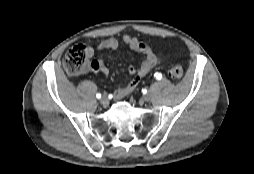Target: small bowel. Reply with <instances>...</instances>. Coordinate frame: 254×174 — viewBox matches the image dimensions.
<instances>
[{"label": "small bowel", "mask_w": 254, "mask_h": 174, "mask_svg": "<svg viewBox=\"0 0 254 174\" xmlns=\"http://www.w3.org/2000/svg\"><path fill=\"white\" fill-rule=\"evenodd\" d=\"M122 43L141 53L144 59L139 67H136L134 65L129 66V73L132 77L126 85L115 89L114 97L116 99H121L133 92L134 89L142 81V79L151 71V69L156 64L159 63V58L154 54L152 49L136 37L124 35L122 37ZM118 46L119 41L117 39L109 38L102 41L97 46H88L87 54L89 58H93L98 51L115 50ZM89 70L103 76H108L109 74V70L102 60H92L90 62Z\"/></svg>", "instance_id": "c3829d8e"}]
</instances>
